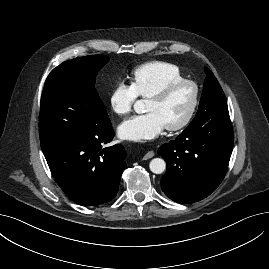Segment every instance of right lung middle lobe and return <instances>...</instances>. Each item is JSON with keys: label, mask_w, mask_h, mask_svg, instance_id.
<instances>
[{"label": "right lung middle lobe", "mask_w": 269, "mask_h": 269, "mask_svg": "<svg viewBox=\"0 0 269 269\" xmlns=\"http://www.w3.org/2000/svg\"><path fill=\"white\" fill-rule=\"evenodd\" d=\"M109 61L90 55L63 62L47 77L41 97L39 135L42 149L111 125L96 89V75Z\"/></svg>", "instance_id": "right-lung-middle-lobe-1"}]
</instances>
